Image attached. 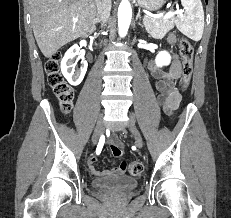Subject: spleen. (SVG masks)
Returning <instances> with one entry per match:
<instances>
[{
	"instance_id": "obj_1",
	"label": "spleen",
	"mask_w": 231,
	"mask_h": 218,
	"mask_svg": "<svg viewBox=\"0 0 231 218\" xmlns=\"http://www.w3.org/2000/svg\"><path fill=\"white\" fill-rule=\"evenodd\" d=\"M184 13L176 20L177 28L194 41L202 38L204 11L201 0H181Z\"/></svg>"
}]
</instances>
